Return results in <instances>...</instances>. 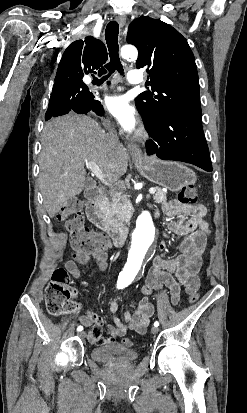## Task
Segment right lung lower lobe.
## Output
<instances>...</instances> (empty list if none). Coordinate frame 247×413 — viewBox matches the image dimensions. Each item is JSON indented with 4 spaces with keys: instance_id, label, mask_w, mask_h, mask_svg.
<instances>
[{
    "instance_id": "1",
    "label": "right lung lower lobe",
    "mask_w": 247,
    "mask_h": 413,
    "mask_svg": "<svg viewBox=\"0 0 247 413\" xmlns=\"http://www.w3.org/2000/svg\"><path fill=\"white\" fill-rule=\"evenodd\" d=\"M87 87V86H86ZM94 95L87 89L77 95L50 99L45 119L56 117L75 111L78 114H87L90 110L97 115H103V107L99 101L94 100Z\"/></svg>"
}]
</instances>
